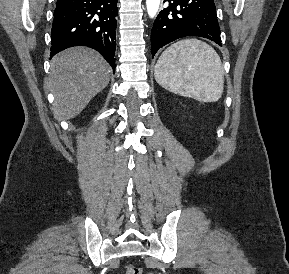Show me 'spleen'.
I'll return each mask as SVG.
<instances>
[{
  "mask_svg": "<svg viewBox=\"0 0 289 274\" xmlns=\"http://www.w3.org/2000/svg\"><path fill=\"white\" fill-rule=\"evenodd\" d=\"M157 83L168 91L200 102H216L224 89V69L217 52L198 39L169 46L155 66Z\"/></svg>",
  "mask_w": 289,
  "mask_h": 274,
  "instance_id": "3e777b00",
  "label": "spleen"
}]
</instances>
